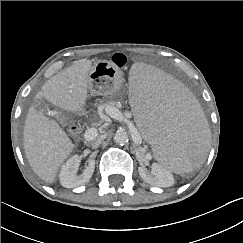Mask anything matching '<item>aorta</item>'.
I'll return each mask as SVG.
<instances>
[{"instance_id":"762f6f07","label":"aorta","mask_w":243,"mask_h":243,"mask_svg":"<svg viewBox=\"0 0 243 243\" xmlns=\"http://www.w3.org/2000/svg\"><path fill=\"white\" fill-rule=\"evenodd\" d=\"M113 139H114V142L119 144V145H124L129 140L128 134L126 133L125 130L116 131Z\"/></svg>"}]
</instances>
